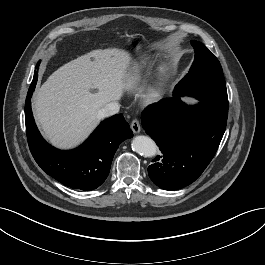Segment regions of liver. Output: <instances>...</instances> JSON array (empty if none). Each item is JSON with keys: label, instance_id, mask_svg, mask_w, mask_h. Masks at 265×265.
Returning a JSON list of instances; mask_svg holds the SVG:
<instances>
[{"label": "liver", "instance_id": "6515ba94", "mask_svg": "<svg viewBox=\"0 0 265 265\" xmlns=\"http://www.w3.org/2000/svg\"><path fill=\"white\" fill-rule=\"evenodd\" d=\"M130 61L124 50L97 49L53 72L32 101L44 137L60 149L81 144L99 124L98 112L129 88Z\"/></svg>", "mask_w": 265, "mask_h": 265}]
</instances>
